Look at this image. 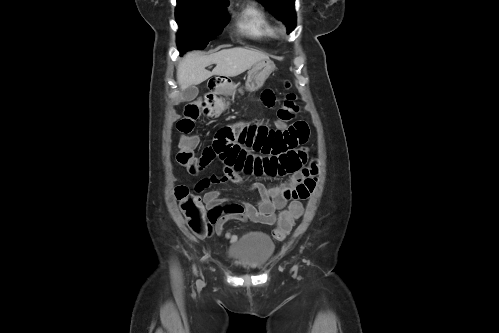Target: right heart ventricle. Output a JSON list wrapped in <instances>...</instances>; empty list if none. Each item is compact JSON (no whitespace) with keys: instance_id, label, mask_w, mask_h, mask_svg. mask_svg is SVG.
I'll use <instances>...</instances> for the list:
<instances>
[{"instance_id":"obj_1","label":"right heart ventricle","mask_w":499,"mask_h":333,"mask_svg":"<svg viewBox=\"0 0 499 333\" xmlns=\"http://www.w3.org/2000/svg\"><path fill=\"white\" fill-rule=\"evenodd\" d=\"M238 27L246 36L255 40H268L276 37L277 28L262 8L246 6L240 13Z\"/></svg>"}]
</instances>
